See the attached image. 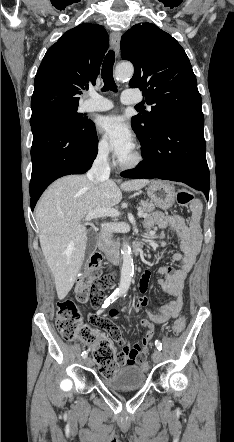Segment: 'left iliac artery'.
Wrapping results in <instances>:
<instances>
[{"mask_svg": "<svg viewBox=\"0 0 234 442\" xmlns=\"http://www.w3.org/2000/svg\"><path fill=\"white\" fill-rule=\"evenodd\" d=\"M155 346H156V348H157L158 350H161V349H162V343H161L159 340H156V341H155Z\"/></svg>", "mask_w": 234, "mask_h": 442, "instance_id": "44dca946", "label": "left iliac artery"}]
</instances>
